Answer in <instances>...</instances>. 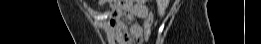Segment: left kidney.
<instances>
[{
    "label": "left kidney",
    "instance_id": "1",
    "mask_svg": "<svg viewBox=\"0 0 261 44\" xmlns=\"http://www.w3.org/2000/svg\"><path fill=\"white\" fill-rule=\"evenodd\" d=\"M168 2L169 0H157L158 14L160 17H162L165 14Z\"/></svg>",
    "mask_w": 261,
    "mask_h": 44
}]
</instances>
